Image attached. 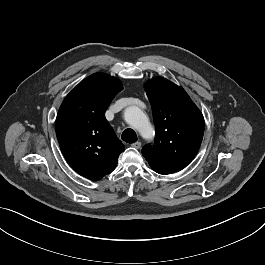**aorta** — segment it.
I'll list each match as a JSON object with an SVG mask.
<instances>
[{"mask_svg":"<svg viewBox=\"0 0 265 265\" xmlns=\"http://www.w3.org/2000/svg\"><path fill=\"white\" fill-rule=\"evenodd\" d=\"M124 119L128 124L136 128L144 138L153 133V128L146 115L136 106H130L125 109Z\"/></svg>","mask_w":265,"mask_h":265,"instance_id":"1","label":"aorta"}]
</instances>
